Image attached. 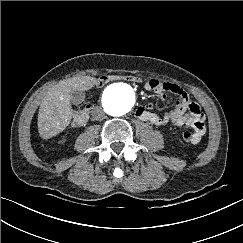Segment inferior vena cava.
I'll list each match as a JSON object with an SVG mask.
<instances>
[{"label": "inferior vena cava", "mask_w": 243, "mask_h": 243, "mask_svg": "<svg viewBox=\"0 0 243 243\" xmlns=\"http://www.w3.org/2000/svg\"><path fill=\"white\" fill-rule=\"evenodd\" d=\"M92 117L94 120H99V121H102L106 118V114L105 112L102 110V108H95L93 111H92Z\"/></svg>", "instance_id": "obj_1"}]
</instances>
